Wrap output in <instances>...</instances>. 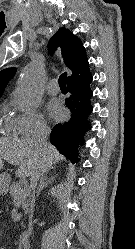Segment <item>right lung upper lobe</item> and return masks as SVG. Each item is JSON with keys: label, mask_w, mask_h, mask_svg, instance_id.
Listing matches in <instances>:
<instances>
[{"label": "right lung upper lobe", "mask_w": 135, "mask_h": 249, "mask_svg": "<svg viewBox=\"0 0 135 249\" xmlns=\"http://www.w3.org/2000/svg\"><path fill=\"white\" fill-rule=\"evenodd\" d=\"M59 47L66 67L72 75L68 77L67 84L84 79L90 74L88 59L82 42L66 28H59L48 43L50 53ZM16 68L10 67L0 72V97L8 82L12 79Z\"/></svg>", "instance_id": "cb5924a9"}]
</instances>
